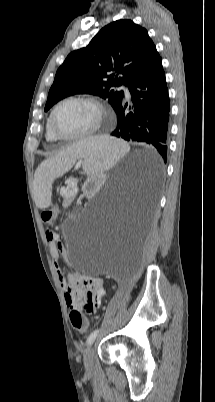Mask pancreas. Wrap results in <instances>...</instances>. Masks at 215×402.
<instances>
[{"label": "pancreas", "mask_w": 215, "mask_h": 402, "mask_svg": "<svg viewBox=\"0 0 215 402\" xmlns=\"http://www.w3.org/2000/svg\"><path fill=\"white\" fill-rule=\"evenodd\" d=\"M74 188H76V186L75 185H72V184H68V186H67V190L69 191L70 189H74Z\"/></svg>", "instance_id": "1"}]
</instances>
